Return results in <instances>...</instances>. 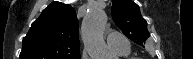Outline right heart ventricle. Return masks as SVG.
I'll use <instances>...</instances> for the list:
<instances>
[{"label": "right heart ventricle", "mask_w": 193, "mask_h": 59, "mask_svg": "<svg viewBox=\"0 0 193 59\" xmlns=\"http://www.w3.org/2000/svg\"><path fill=\"white\" fill-rule=\"evenodd\" d=\"M118 54H119L120 56H122V57H126V56L129 54V52H126V53H120V52H118Z\"/></svg>", "instance_id": "1"}]
</instances>
